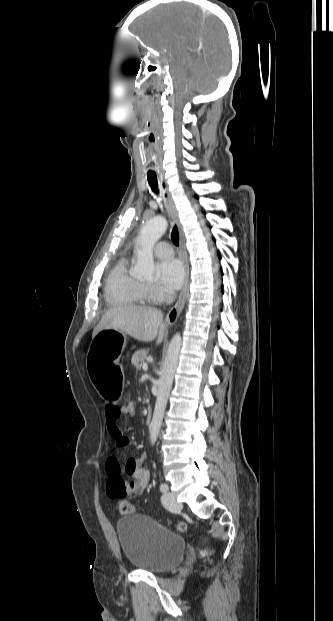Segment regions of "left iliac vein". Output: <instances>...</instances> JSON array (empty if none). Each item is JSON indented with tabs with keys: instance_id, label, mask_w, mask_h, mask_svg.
<instances>
[{
	"instance_id": "obj_1",
	"label": "left iliac vein",
	"mask_w": 333,
	"mask_h": 621,
	"mask_svg": "<svg viewBox=\"0 0 333 621\" xmlns=\"http://www.w3.org/2000/svg\"><path fill=\"white\" fill-rule=\"evenodd\" d=\"M162 503L168 510L178 511L182 505L177 502L176 496L171 492H166L162 497Z\"/></svg>"
}]
</instances>
